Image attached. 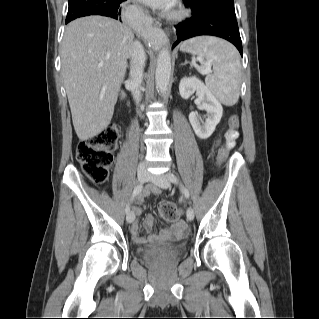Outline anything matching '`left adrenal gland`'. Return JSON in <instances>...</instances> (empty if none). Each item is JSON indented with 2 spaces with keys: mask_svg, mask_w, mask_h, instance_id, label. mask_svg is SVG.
Segmentation results:
<instances>
[{
  "mask_svg": "<svg viewBox=\"0 0 319 319\" xmlns=\"http://www.w3.org/2000/svg\"><path fill=\"white\" fill-rule=\"evenodd\" d=\"M186 64H187V61H185V63H183V64H181V65L183 66V65H186Z\"/></svg>",
  "mask_w": 319,
  "mask_h": 319,
  "instance_id": "a2214340",
  "label": "left adrenal gland"
}]
</instances>
